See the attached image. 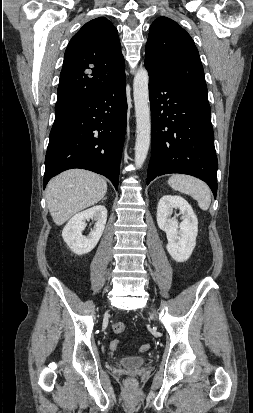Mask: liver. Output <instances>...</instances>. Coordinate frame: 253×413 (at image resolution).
I'll list each match as a JSON object with an SVG mask.
<instances>
[{"mask_svg": "<svg viewBox=\"0 0 253 413\" xmlns=\"http://www.w3.org/2000/svg\"><path fill=\"white\" fill-rule=\"evenodd\" d=\"M106 181L83 169L65 171L51 179L46 187V202L54 223L64 224L79 211L103 199Z\"/></svg>", "mask_w": 253, "mask_h": 413, "instance_id": "1", "label": "liver"}]
</instances>
